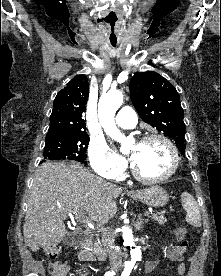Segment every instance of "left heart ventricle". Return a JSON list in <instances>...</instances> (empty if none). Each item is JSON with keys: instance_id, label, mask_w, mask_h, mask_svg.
I'll list each match as a JSON object with an SVG mask.
<instances>
[{"instance_id": "left-heart-ventricle-1", "label": "left heart ventricle", "mask_w": 221, "mask_h": 276, "mask_svg": "<svg viewBox=\"0 0 221 276\" xmlns=\"http://www.w3.org/2000/svg\"><path fill=\"white\" fill-rule=\"evenodd\" d=\"M130 152L134 164L145 176H161L168 172L172 164L170 150L160 140L135 143Z\"/></svg>"}]
</instances>
